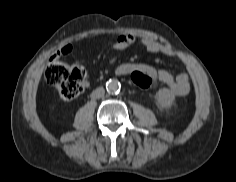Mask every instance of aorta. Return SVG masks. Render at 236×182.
I'll list each match as a JSON object with an SVG mask.
<instances>
[{
  "label": "aorta",
  "mask_w": 236,
  "mask_h": 182,
  "mask_svg": "<svg viewBox=\"0 0 236 182\" xmlns=\"http://www.w3.org/2000/svg\"><path fill=\"white\" fill-rule=\"evenodd\" d=\"M121 84L118 80L116 79H110L106 83V89L109 93H117L120 91Z\"/></svg>",
  "instance_id": "762f6f07"
}]
</instances>
